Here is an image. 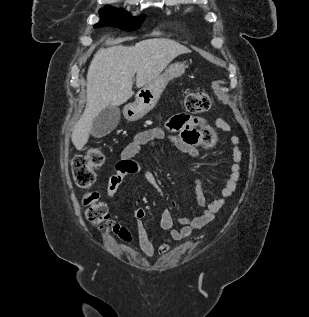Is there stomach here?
<instances>
[{
	"instance_id": "0dacf381",
	"label": "stomach",
	"mask_w": 309,
	"mask_h": 317,
	"mask_svg": "<svg viewBox=\"0 0 309 317\" xmlns=\"http://www.w3.org/2000/svg\"><path fill=\"white\" fill-rule=\"evenodd\" d=\"M184 63L171 64L157 79L150 82L135 95V101L125 106L123 113L128 121H136L152 110L168 83L185 73Z\"/></svg>"
}]
</instances>
